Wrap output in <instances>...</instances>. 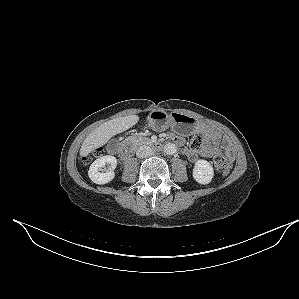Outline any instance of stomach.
I'll return each instance as SVG.
<instances>
[{
  "label": "stomach",
  "instance_id": "0dacf381",
  "mask_svg": "<svg viewBox=\"0 0 299 299\" xmlns=\"http://www.w3.org/2000/svg\"><path fill=\"white\" fill-rule=\"evenodd\" d=\"M149 126L156 131H164L169 127L179 133L190 134L196 130L197 123L187 115L181 113L167 114L163 110L154 109L148 116Z\"/></svg>",
  "mask_w": 299,
  "mask_h": 299
}]
</instances>
